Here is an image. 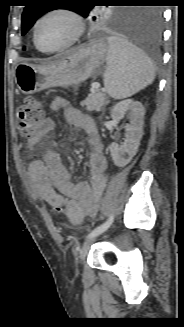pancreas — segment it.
Returning <instances> with one entry per match:
<instances>
[{
    "mask_svg": "<svg viewBox=\"0 0 184 327\" xmlns=\"http://www.w3.org/2000/svg\"><path fill=\"white\" fill-rule=\"evenodd\" d=\"M106 94L99 89L91 91L88 97L81 102L82 106H86L88 111H101L105 105Z\"/></svg>",
    "mask_w": 184,
    "mask_h": 327,
    "instance_id": "cf45deb5",
    "label": "pancreas"
}]
</instances>
